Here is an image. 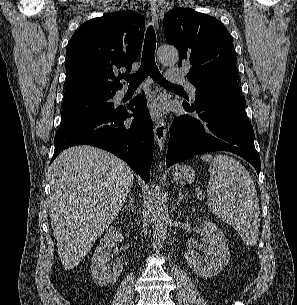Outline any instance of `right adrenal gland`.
<instances>
[{"mask_svg":"<svg viewBox=\"0 0 297 305\" xmlns=\"http://www.w3.org/2000/svg\"><path fill=\"white\" fill-rule=\"evenodd\" d=\"M128 208H130V210L133 212L135 209V205H134V201H133V197H132V192L131 190L129 191V195H128V204H126L122 211L127 210Z\"/></svg>","mask_w":297,"mask_h":305,"instance_id":"1","label":"right adrenal gland"}]
</instances>
